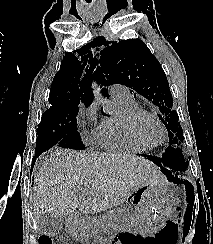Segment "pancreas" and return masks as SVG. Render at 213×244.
<instances>
[{
	"mask_svg": "<svg viewBox=\"0 0 213 244\" xmlns=\"http://www.w3.org/2000/svg\"><path fill=\"white\" fill-rule=\"evenodd\" d=\"M86 232L89 235L95 236L96 235V227L92 225V223L88 224V226L86 227Z\"/></svg>",
	"mask_w": 213,
	"mask_h": 244,
	"instance_id": "1",
	"label": "pancreas"
}]
</instances>
